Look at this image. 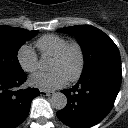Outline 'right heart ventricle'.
<instances>
[{
    "label": "right heart ventricle",
    "instance_id": "e07e8e85",
    "mask_svg": "<svg viewBox=\"0 0 128 128\" xmlns=\"http://www.w3.org/2000/svg\"><path fill=\"white\" fill-rule=\"evenodd\" d=\"M67 43H69L67 38L55 34H49L39 38L36 42V47L39 49L42 56L54 57Z\"/></svg>",
    "mask_w": 128,
    "mask_h": 128
}]
</instances>
